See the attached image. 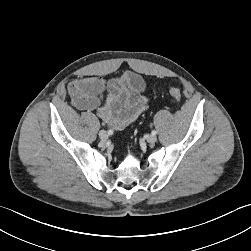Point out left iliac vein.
<instances>
[{
    "label": "left iliac vein",
    "mask_w": 251,
    "mask_h": 251,
    "mask_svg": "<svg viewBox=\"0 0 251 251\" xmlns=\"http://www.w3.org/2000/svg\"><path fill=\"white\" fill-rule=\"evenodd\" d=\"M147 142L150 144H154L157 141V137L153 134H150L146 138Z\"/></svg>",
    "instance_id": "1"
}]
</instances>
